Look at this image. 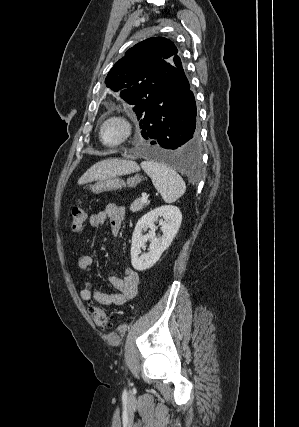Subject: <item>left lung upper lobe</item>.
I'll return each instance as SVG.
<instances>
[{"label":"left lung upper lobe","mask_w":299,"mask_h":427,"mask_svg":"<svg viewBox=\"0 0 299 427\" xmlns=\"http://www.w3.org/2000/svg\"><path fill=\"white\" fill-rule=\"evenodd\" d=\"M178 52L172 41L163 37L146 39L130 48L109 71L105 83L120 97L134 105L138 119L155 104L178 78L174 63Z\"/></svg>","instance_id":"5c2ea615"}]
</instances>
